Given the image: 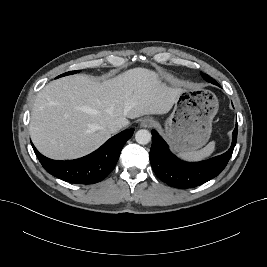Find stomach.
<instances>
[{"mask_svg":"<svg viewBox=\"0 0 267 267\" xmlns=\"http://www.w3.org/2000/svg\"><path fill=\"white\" fill-rule=\"evenodd\" d=\"M219 107L216 95L200 87L183 88L165 122V137L177 152L203 147L212 132V121Z\"/></svg>","mask_w":267,"mask_h":267,"instance_id":"1","label":"stomach"}]
</instances>
